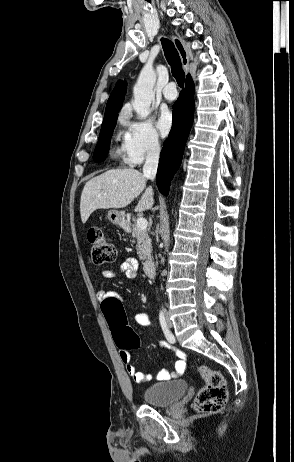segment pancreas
I'll return each instance as SVG.
<instances>
[{
    "label": "pancreas",
    "instance_id": "pancreas-1",
    "mask_svg": "<svg viewBox=\"0 0 294 462\" xmlns=\"http://www.w3.org/2000/svg\"><path fill=\"white\" fill-rule=\"evenodd\" d=\"M131 235L133 242H136L139 259L142 261L151 259V239L146 230H140L137 225H132Z\"/></svg>",
    "mask_w": 294,
    "mask_h": 462
}]
</instances>
